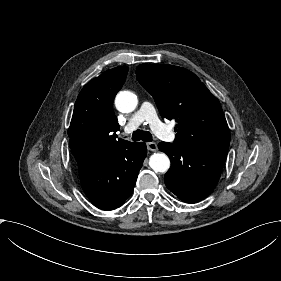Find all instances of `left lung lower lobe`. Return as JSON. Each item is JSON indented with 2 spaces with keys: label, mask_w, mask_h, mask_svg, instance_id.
Instances as JSON below:
<instances>
[{
  "label": "left lung lower lobe",
  "mask_w": 281,
  "mask_h": 281,
  "mask_svg": "<svg viewBox=\"0 0 281 281\" xmlns=\"http://www.w3.org/2000/svg\"><path fill=\"white\" fill-rule=\"evenodd\" d=\"M158 147L171 161V167L164 177L165 184L180 200L196 203L213 191L227 153L188 151L167 142L159 143Z\"/></svg>",
  "instance_id": "1"
}]
</instances>
